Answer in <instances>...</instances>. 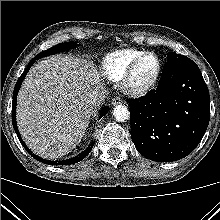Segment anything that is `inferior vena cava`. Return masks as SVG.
I'll use <instances>...</instances> for the list:
<instances>
[{
  "label": "inferior vena cava",
  "instance_id": "1",
  "mask_svg": "<svg viewBox=\"0 0 220 220\" xmlns=\"http://www.w3.org/2000/svg\"><path fill=\"white\" fill-rule=\"evenodd\" d=\"M106 97V90L103 87L94 89L89 95V103L93 106H98Z\"/></svg>",
  "mask_w": 220,
  "mask_h": 220
}]
</instances>
